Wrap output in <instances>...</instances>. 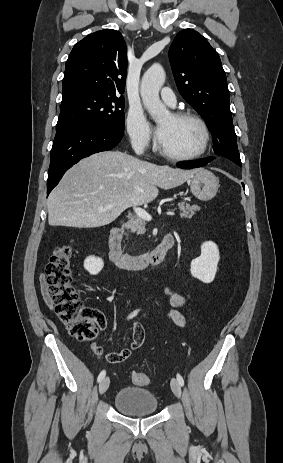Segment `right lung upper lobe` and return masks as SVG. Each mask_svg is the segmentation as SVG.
<instances>
[{
	"label": "right lung upper lobe",
	"mask_w": 283,
	"mask_h": 463,
	"mask_svg": "<svg viewBox=\"0 0 283 463\" xmlns=\"http://www.w3.org/2000/svg\"><path fill=\"white\" fill-rule=\"evenodd\" d=\"M127 48L119 31L104 29L78 42L66 61L62 103L86 94L122 97Z\"/></svg>",
	"instance_id": "1"
}]
</instances>
